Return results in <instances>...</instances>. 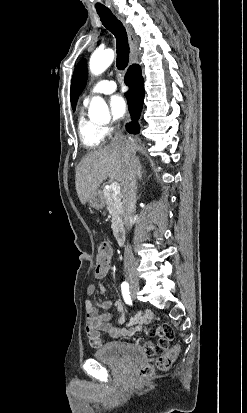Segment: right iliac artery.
Returning a JSON list of instances; mask_svg holds the SVG:
<instances>
[{
	"instance_id": "1",
	"label": "right iliac artery",
	"mask_w": 247,
	"mask_h": 413,
	"mask_svg": "<svg viewBox=\"0 0 247 413\" xmlns=\"http://www.w3.org/2000/svg\"><path fill=\"white\" fill-rule=\"evenodd\" d=\"M121 290H122V295H123L124 301L127 304L132 305V300H131L130 291H129V285L128 284H122L121 285Z\"/></svg>"
}]
</instances>
